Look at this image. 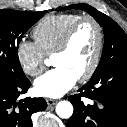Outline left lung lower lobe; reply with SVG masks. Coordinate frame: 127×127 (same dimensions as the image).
Here are the masks:
<instances>
[{"mask_svg": "<svg viewBox=\"0 0 127 127\" xmlns=\"http://www.w3.org/2000/svg\"><path fill=\"white\" fill-rule=\"evenodd\" d=\"M69 97L74 107L67 127H127V63L114 65L91 77ZM86 97L92 104H84Z\"/></svg>", "mask_w": 127, "mask_h": 127, "instance_id": "1", "label": "left lung lower lobe"}]
</instances>
